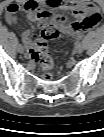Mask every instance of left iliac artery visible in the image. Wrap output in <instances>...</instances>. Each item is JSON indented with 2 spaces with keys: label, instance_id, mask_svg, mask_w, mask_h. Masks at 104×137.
Wrapping results in <instances>:
<instances>
[{
  "label": "left iliac artery",
  "instance_id": "44dca946",
  "mask_svg": "<svg viewBox=\"0 0 104 137\" xmlns=\"http://www.w3.org/2000/svg\"><path fill=\"white\" fill-rule=\"evenodd\" d=\"M83 39V36L82 35H79L78 37L75 38V41H80Z\"/></svg>",
  "mask_w": 104,
  "mask_h": 137
}]
</instances>
